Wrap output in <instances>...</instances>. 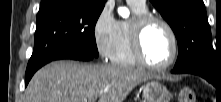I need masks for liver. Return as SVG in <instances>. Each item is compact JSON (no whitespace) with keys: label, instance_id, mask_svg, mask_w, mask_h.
I'll return each mask as SVG.
<instances>
[{"label":"liver","instance_id":"obj_1","mask_svg":"<svg viewBox=\"0 0 221 102\" xmlns=\"http://www.w3.org/2000/svg\"><path fill=\"white\" fill-rule=\"evenodd\" d=\"M152 77L124 66L56 61L34 74L25 102H91L97 97L98 102H123L133 88Z\"/></svg>","mask_w":221,"mask_h":102}]
</instances>
